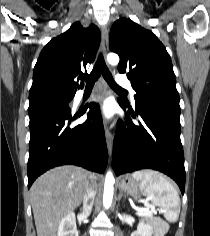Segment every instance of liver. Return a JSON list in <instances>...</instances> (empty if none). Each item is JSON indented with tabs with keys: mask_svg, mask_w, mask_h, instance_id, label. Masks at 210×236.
Returning a JSON list of instances; mask_svg holds the SVG:
<instances>
[{
	"mask_svg": "<svg viewBox=\"0 0 210 236\" xmlns=\"http://www.w3.org/2000/svg\"><path fill=\"white\" fill-rule=\"evenodd\" d=\"M98 174L76 166H61L41 175L31 186V205L37 236H56L59 223L82 202Z\"/></svg>",
	"mask_w": 210,
	"mask_h": 236,
	"instance_id": "6515ba94",
	"label": "liver"
}]
</instances>
